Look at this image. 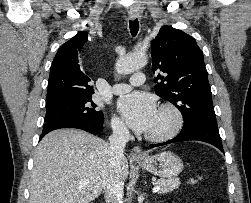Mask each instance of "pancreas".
<instances>
[{"label": "pancreas", "mask_w": 251, "mask_h": 203, "mask_svg": "<svg viewBox=\"0 0 251 203\" xmlns=\"http://www.w3.org/2000/svg\"><path fill=\"white\" fill-rule=\"evenodd\" d=\"M161 186V192L167 193L180 186V180L178 178H169V179H159L157 182Z\"/></svg>", "instance_id": "pancreas-1"}]
</instances>
